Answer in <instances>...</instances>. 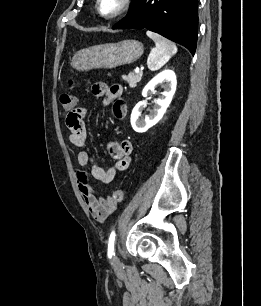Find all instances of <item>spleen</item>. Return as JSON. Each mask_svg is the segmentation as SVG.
<instances>
[{
    "instance_id": "3e777b00",
    "label": "spleen",
    "mask_w": 261,
    "mask_h": 306,
    "mask_svg": "<svg viewBox=\"0 0 261 306\" xmlns=\"http://www.w3.org/2000/svg\"><path fill=\"white\" fill-rule=\"evenodd\" d=\"M147 36L155 42L147 59V66L151 71H156L164 66L177 52V47L171 41L152 31L146 32Z\"/></svg>"
}]
</instances>
